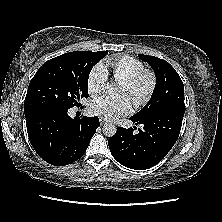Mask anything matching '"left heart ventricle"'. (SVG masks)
Instances as JSON below:
<instances>
[{
  "instance_id": "1",
  "label": "left heart ventricle",
  "mask_w": 222,
  "mask_h": 222,
  "mask_svg": "<svg viewBox=\"0 0 222 222\" xmlns=\"http://www.w3.org/2000/svg\"><path fill=\"white\" fill-rule=\"evenodd\" d=\"M145 87H146V84L144 83V84L141 86L140 91L142 92V91L145 89ZM119 92H120L121 94H124V95L128 96L129 99L131 100V97H130V95L128 94V90H127V88H126L125 85L122 84V86L120 87Z\"/></svg>"
}]
</instances>
